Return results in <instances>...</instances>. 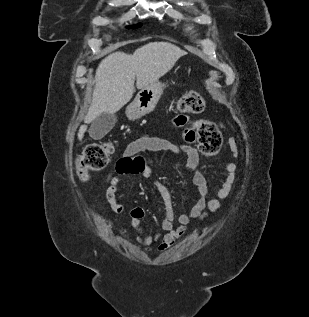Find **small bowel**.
Instances as JSON below:
<instances>
[{"mask_svg":"<svg viewBox=\"0 0 309 317\" xmlns=\"http://www.w3.org/2000/svg\"><path fill=\"white\" fill-rule=\"evenodd\" d=\"M187 123L185 116H178L174 119L176 126L185 127L183 142L180 144H174L166 139L149 134L141 135L130 142L116 163L117 175L110 173L106 179L105 197L112 211L121 213L123 207L116 198L119 176L140 174L146 179H153V169L147 164L142 153L167 151L175 156L186 155V169L192 174V181L197 190V198L195 204L188 212L182 213L177 217L178 225L174 224L175 214L171 203V194L165 185H159V190L167 202L161 221V228L165 232L164 234L151 235L144 231L142 219L144 218L145 211L142 207H136L131 211V224L135 229L136 240L146 251H151L154 244H157L159 252H165L170 249L186 233L187 225L191 219L204 220L209 216V213L215 212L220 208L221 200L231 194L236 180L237 165L232 161H227L224 164L226 174L220 187L214 193V198L207 200V181L203 173L197 168L199 152L193 145L197 136L192 129L187 127ZM228 147L233 156L237 158L239 150L235 138H229Z\"/></svg>","mask_w":309,"mask_h":317,"instance_id":"1","label":"small bowel"}]
</instances>
